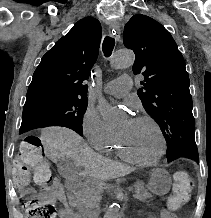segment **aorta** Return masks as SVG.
<instances>
[{
    "mask_svg": "<svg viewBox=\"0 0 211 218\" xmlns=\"http://www.w3.org/2000/svg\"><path fill=\"white\" fill-rule=\"evenodd\" d=\"M135 56L130 50H118L111 58L110 66L114 69H122L132 66ZM98 109L102 115L105 128L114 131L117 130L123 123V116L111 108L103 98L99 100ZM120 207L114 203L109 206L105 213V218H119Z\"/></svg>",
    "mask_w": 211,
    "mask_h": 218,
    "instance_id": "762f6f07",
    "label": "aorta"
}]
</instances>
